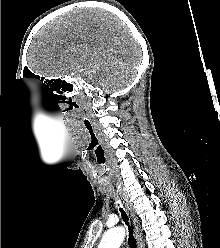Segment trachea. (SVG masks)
I'll use <instances>...</instances> for the list:
<instances>
[{
	"instance_id": "obj_1",
	"label": "trachea",
	"mask_w": 220,
	"mask_h": 248,
	"mask_svg": "<svg viewBox=\"0 0 220 248\" xmlns=\"http://www.w3.org/2000/svg\"><path fill=\"white\" fill-rule=\"evenodd\" d=\"M120 212H121V216L123 218V221L125 222V224L128 227V231H129V238H128V245L130 248H137V243H136V239L133 235V228L132 226L129 224V217L126 214V212L122 209L119 208Z\"/></svg>"
}]
</instances>
